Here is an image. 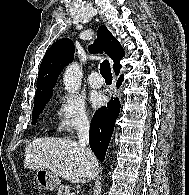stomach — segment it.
<instances>
[{
	"mask_svg": "<svg viewBox=\"0 0 189 195\" xmlns=\"http://www.w3.org/2000/svg\"><path fill=\"white\" fill-rule=\"evenodd\" d=\"M35 179L37 183L46 190H54L60 184L58 175L49 169H37Z\"/></svg>",
	"mask_w": 189,
	"mask_h": 195,
	"instance_id": "1",
	"label": "stomach"
}]
</instances>
